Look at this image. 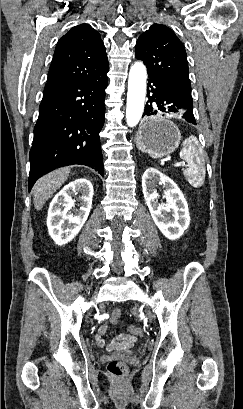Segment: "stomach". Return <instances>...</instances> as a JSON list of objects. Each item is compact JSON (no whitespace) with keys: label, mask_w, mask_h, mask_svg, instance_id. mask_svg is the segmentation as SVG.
<instances>
[{"label":"stomach","mask_w":243,"mask_h":409,"mask_svg":"<svg viewBox=\"0 0 243 409\" xmlns=\"http://www.w3.org/2000/svg\"><path fill=\"white\" fill-rule=\"evenodd\" d=\"M181 134L178 127L162 116L144 121L136 135V145L153 158L171 154L179 146Z\"/></svg>","instance_id":"1"}]
</instances>
